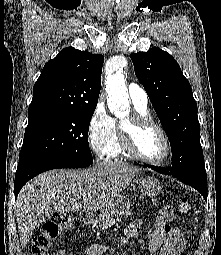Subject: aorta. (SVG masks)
Masks as SVG:
<instances>
[{
  "instance_id": "1",
  "label": "aorta",
  "mask_w": 221,
  "mask_h": 255,
  "mask_svg": "<svg viewBox=\"0 0 221 255\" xmlns=\"http://www.w3.org/2000/svg\"><path fill=\"white\" fill-rule=\"evenodd\" d=\"M125 63V61H122ZM107 105L111 113L123 116L129 108V94L125 85L123 69L119 68L114 74L107 76Z\"/></svg>"
}]
</instances>
